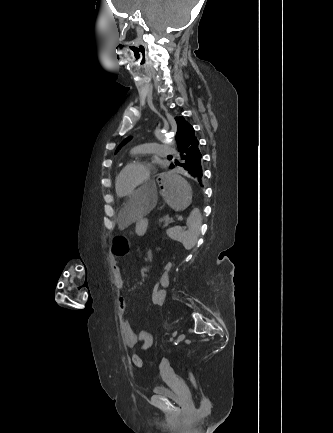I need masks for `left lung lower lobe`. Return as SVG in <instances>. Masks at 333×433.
<instances>
[{"label":"left lung lower lobe","mask_w":333,"mask_h":433,"mask_svg":"<svg viewBox=\"0 0 333 433\" xmlns=\"http://www.w3.org/2000/svg\"><path fill=\"white\" fill-rule=\"evenodd\" d=\"M199 142L195 140L187 148L178 153V157L170 168L183 171L189 176L193 177L196 181L201 182L203 177L201 158L202 155L199 150Z\"/></svg>","instance_id":"left-lung-lower-lobe-1"}]
</instances>
